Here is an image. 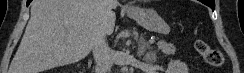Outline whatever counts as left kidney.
I'll return each mask as SVG.
<instances>
[{"label":"left kidney","mask_w":244,"mask_h":73,"mask_svg":"<svg viewBox=\"0 0 244 73\" xmlns=\"http://www.w3.org/2000/svg\"><path fill=\"white\" fill-rule=\"evenodd\" d=\"M166 73H189L187 65L180 60H171Z\"/></svg>","instance_id":"1"}]
</instances>
